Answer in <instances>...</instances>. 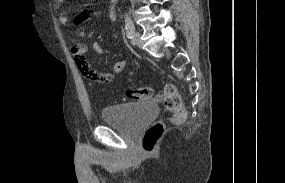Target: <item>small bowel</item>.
Returning a JSON list of instances; mask_svg holds the SVG:
<instances>
[{
	"label": "small bowel",
	"instance_id": "small-bowel-1",
	"mask_svg": "<svg viewBox=\"0 0 285 183\" xmlns=\"http://www.w3.org/2000/svg\"><path fill=\"white\" fill-rule=\"evenodd\" d=\"M57 1L58 3L64 2V0H57ZM116 1L117 0H111L113 4ZM108 14L111 18L113 19L115 18L113 7L108 9ZM88 18H89L88 15L81 13L78 16H76L74 23L75 25H81L86 20H88ZM59 21L61 24H65L68 21L67 15L61 14L59 16ZM92 48L98 54H102L104 52L102 45L98 42L93 43ZM87 51L88 47L85 43H77L72 48V53L75 57L77 64H84L88 67L89 75H87L86 77L98 83L102 84L108 83L112 79L113 75L122 72L127 64L126 60L117 61L110 70L105 72H100L92 68V63L89 57L87 56Z\"/></svg>",
	"mask_w": 285,
	"mask_h": 183
}]
</instances>
